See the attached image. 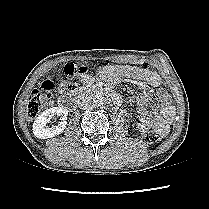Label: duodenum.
Segmentation results:
<instances>
[{"instance_id":"410a0bca","label":"duodenum","mask_w":209,"mask_h":209,"mask_svg":"<svg viewBox=\"0 0 209 209\" xmlns=\"http://www.w3.org/2000/svg\"><path fill=\"white\" fill-rule=\"evenodd\" d=\"M94 94L99 96H107L110 97L115 104H120L121 97L119 94L115 92L108 91L106 89L98 88V89H90V88H80L75 94L66 96L59 101L63 106H73L79 103L80 99L88 94Z\"/></svg>"}]
</instances>
